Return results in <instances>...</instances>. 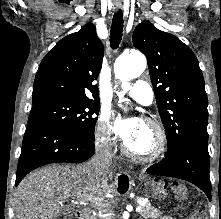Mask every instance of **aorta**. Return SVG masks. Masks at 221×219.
I'll return each instance as SVG.
<instances>
[{"instance_id":"762f6f07","label":"aorta","mask_w":221,"mask_h":219,"mask_svg":"<svg viewBox=\"0 0 221 219\" xmlns=\"http://www.w3.org/2000/svg\"><path fill=\"white\" fill-rule=\"evenodd\" d=\"M146 68V58L142 54L120 55L114 64V72L123 83V88H129V81L139 77Z\"/></svg>"}]
</instances>
